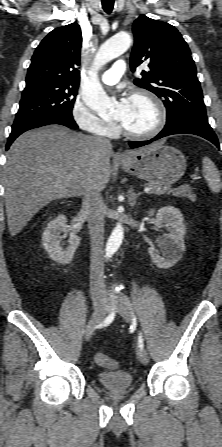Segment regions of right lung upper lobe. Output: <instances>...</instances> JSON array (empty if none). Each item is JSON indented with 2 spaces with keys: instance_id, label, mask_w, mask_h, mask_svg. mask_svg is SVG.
I'll use <instances>...</instances> for the list:
<instances>
[{
  "instance_id": "cb5924a9",
  "label": "right lung upper lobe",
  "mask_w": 222,
  "mask_h": 447,
  "mask_svg": "<svg viewBox=\"0 0 222 447\" xmlns=\"http://www.w3.org/2000/svg\"><path fill=\"white\" fill-rule=\"evenodd\" d=\"M80 26L72 23L51 31L36 48L26 77V87L79 86Z\"/></svg>"
}]
</instances>
